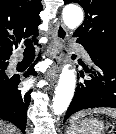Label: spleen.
Listing matches in <instances>:
<instances>
[{
    "label": "spleen",
    "instance_id": "3e777b00",
    "mask_svg": "<svg viewBox=\"0 0 116 134\" xmlns=\"http://www.w3.org/2000/svg\"><path fill=\"white\" fill-rule=\"evenodd\" d=\"M92 113H104V114H107L108 116L116 118V110L111 109V108H96V109H92V110H89V111H81V112L75 114L71 118L70 122H74L78 118L83 117L87 114H92Z\"/></svg>",
    "mask_w": 116,
    "mask_h": 134
}]
</instances>
